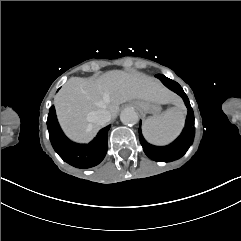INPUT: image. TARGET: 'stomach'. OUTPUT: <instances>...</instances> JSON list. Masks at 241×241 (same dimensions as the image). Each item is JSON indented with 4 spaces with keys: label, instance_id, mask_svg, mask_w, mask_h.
<instances>
[{
    "label": "stomach",
    "instance_id": "0dacf381",
    "mask_svg": "<svg viewBox=\"0 0 241 241\" xmlns=\"http://www.w3.org/2000/svg\"><path fill=\"white\" fill-rule=\"evenodd\" d=\"M135 104L145 113H152L156 115L160 109L157 103L147 100H137Z\"/></svg>",
    "mask_w": 241,
    "mask_h": 241
}]
</instances>
